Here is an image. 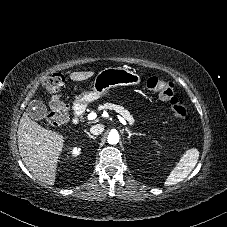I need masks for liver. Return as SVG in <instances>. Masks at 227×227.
Listing matches in <instances>:
<instances>
[{
  "instance_id": "1",
  "label": "liver",
  "mask_w": 227,
  "mask_h": 227,
  "mask_svg": "<svg viewBox=\"0 0 227 227\" xmlns=\"http://www.w3.org/2000/svg\"><path fill=\"white\" fill-rule=\"evenodd\" d=\"M93 75V71L73 72L70 79L83 81ZM17 134L20 156L27 169L38 181L54 185L65 137L32 121L27 112L22 115Z\"/></svg>"
}]
</instances>
